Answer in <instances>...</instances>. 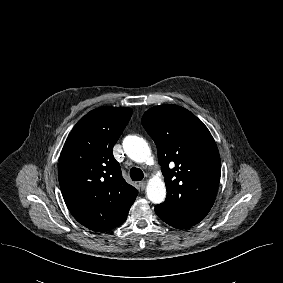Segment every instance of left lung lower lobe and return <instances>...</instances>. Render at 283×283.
Returning a JSON list of instances; mask_svg holds the SVG:
<instances>
[{"instance_id":"1","label":"left lung lower lobe","mask_w":283,"mask_h":283,"mask_svg":"<svg viewBox=\"0 0 283 283\" xmlns=\"http://www.w3.org/2000/svg\"><path fill=\"white\" fill-rule=\"evenodd\" d=\"M158 215V214H157ZM159 216V215H158ZM160 217V216H159ZM164 222H166L167 224L175 227V228H178V229H187L193 225H187V224H182V223H175V222H172V221H169V220H166V219H163L162 217H160Z\"/></svg>"}]
</instances>
